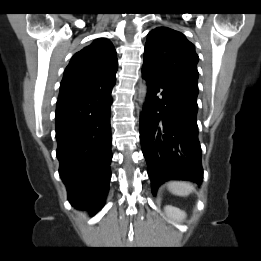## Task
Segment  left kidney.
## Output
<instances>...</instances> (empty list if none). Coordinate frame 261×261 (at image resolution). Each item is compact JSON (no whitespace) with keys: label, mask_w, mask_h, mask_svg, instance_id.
Here are the masks:
<instances>
[{"label":"left kidney","mask_w":261,"mask_h":261,"mask_svg":"<svg viewBox=\"0 0 261 261\" xmlns=\"http://www.w3.org/2000/svg\"><path fill=\"white\" fill-rule=\"evenodd\" d=\"M165 212L169 218L172 220L181 221L186 217V214L184 211L180 210L179 208H176L174 206H166Z\"/></svg>","instance_id":"5707ae66"}]
</instances>
